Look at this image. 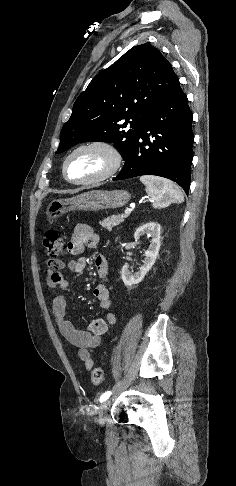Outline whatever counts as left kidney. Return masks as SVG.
<instances>
[{"label": "left kidney", "mask_w": 236, "mask_h": 486, "mask_svg": "<svg viewBox=\"0 0 236 486\" xmlns=\"http://www.w3.org/2000/svg\"><path fill=\"white\" fill-rule=\"evenodd\" d=\"M145 234L151 236L152 239L149 248L144 252L145 258L143 261V265L140 267L139 271L133 273L132 271H130L127 264L122 267L121 277L126 286H132L140 283L144 279L147 272L152 268L158 256L161 234L160 224L155 222H149L140 226L136 230L134 238L137 240L140 238V236Z\"/></svg>", "instance_id": "5707ae66"}]
</instances>
